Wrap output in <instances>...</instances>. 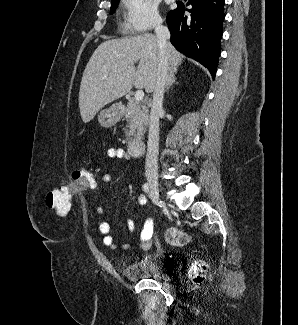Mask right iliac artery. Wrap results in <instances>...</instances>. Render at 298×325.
Returning <instances> with one entry per match:
<instances>
[{
  "label": "right iliac artery",
  "instance_id": "82829eb1",
  "mask_svg": "<svg viewBox=\"0 0 298 325\" xmlns=\"http://www.w3.org/2000/svg\"><path fill=\"white\" fill-rule=\"evenodd\" d=\"M143 190H144L145 193L149 194L150 189H149V185H148V183H145V184L143 185Z\"/></svg>",
  "mask_w": 298,
  "mask_h": 325
}]
</instances>
